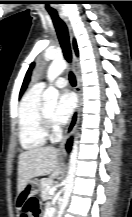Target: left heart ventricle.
<instances>
[{"label": "left heart ventricle", "instance_id": "left-heart-ventricle-1", "mask_svg": "<svg viewBox=\"0 0 132 217\" xmlns=\"http://www.w3.org/2000/svg\"><path fill=\"white\" fill-rule=\"evenodd\" d=\"M54 107H55L54 104H46L45 105V109L49 115L53 114Z\"/></svg>", "mask_w": 132, "mask_h": 217}]
</instances>
